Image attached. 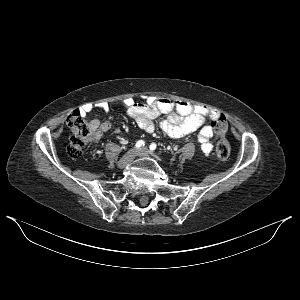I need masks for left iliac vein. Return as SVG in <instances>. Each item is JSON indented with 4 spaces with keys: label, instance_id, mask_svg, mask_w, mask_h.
Masks as SVG:
<instances>
[{
    "label": "left iliac vein",
    "instance_id": "4c4485c4",
    "mask_svg": "<svg viewBox=\"0 0 300 300\" xmlns=\"http://www.w3.org/2000/svg\"><path fill=\"white\" fill-rule=\"evenodd\" d=\"M137 155L140 157H150V154L146 148L139 149Z\"/></svg>",
    "mask_w": 300,
    "mask_h": 300
}]
</instances>
